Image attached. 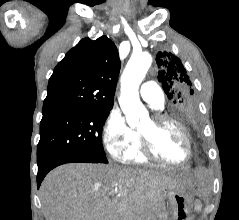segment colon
<instances>
[{
  "label": "colon",
  "mask_w": 239,
  "mask_h": 220,
  "mask_svg": "<svg viewBox=\"0 0 239 220\" xmlns=\"http://www.w3.org/2000/svg\"><path fill=\"white\" fill-rule=\"evenodd\" d=\"M185 218H186L185 215H183V216L179 217L178 220H184Z\"/></svg>",
  "instance_id": "1"
}]
</instances>
